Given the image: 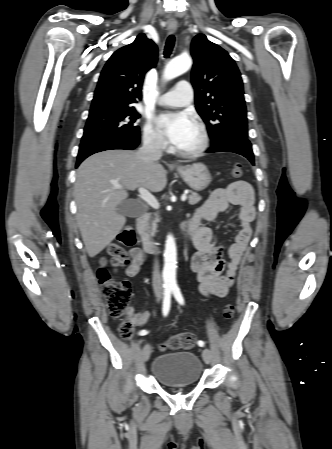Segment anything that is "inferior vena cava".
<instances>
[{
  "mask_svg": "<svg viewBox=\"0 0 332 449\" xmlns=\"http://www.w3.org/2000/svg\"><path fill=\"white\" fill-rule=\"evenodd\" d=\"M163 139L161 137H151L144 140L142 147L136 155L145 163H151L162 157ZM152 284L157 296L162 294V279L159 272V263L155 260Z\"/></svg>",
  "mask_w": 332,
  "mask_h": 449,
  "instance_id": "obj_1",
  "label": "inferior vena cava"
}]
</instances>
